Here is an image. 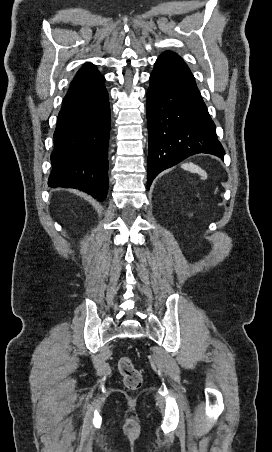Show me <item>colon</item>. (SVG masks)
Listing matches in <instances>:
<instances>
[{
    "label": "colon",
    "mask_w": 272,
    "mask_h": 452,
    "mask_svg": "<svg viewBox=\"0 0 272 452\" xmlns=\"http://www.w3.org/2000/svg\"><path fill=\"white\" fill-rule=\"evenodd\" d=\"M118 370L123 377L127 389L135 391L142 385V375L133 364L131 358L123 356L118 360Z\"/></svg>",
    "instance_id": "obj_1"
}]
</instances>
